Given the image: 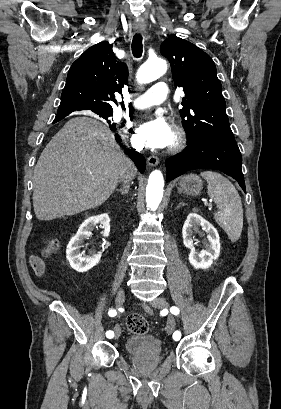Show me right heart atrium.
<instances>
[{
	"mask_svg": "<svg viewBox=\"0 0 281 409\" xmlns=\"http://www.w3.org/2000/svg\"><path fill=\"white\" fill-rule=\"evenodd\" d=\"M128 129H129V126H127V127L123 130V134H122L123 139L126 140V141L128 140L129 143H130V145H131L133 148H135V149H140V145H139V143L137 142V140H136L134 137H129V136L127 135Z\"/></svg>",
	"mask_w": 281,
	"mask_h": 409,
	"instance_id": "1",
	"label": "right heart atrium"
}]
</instances>
